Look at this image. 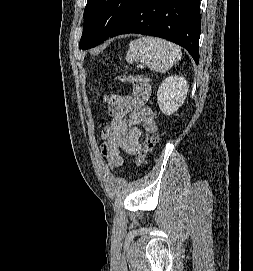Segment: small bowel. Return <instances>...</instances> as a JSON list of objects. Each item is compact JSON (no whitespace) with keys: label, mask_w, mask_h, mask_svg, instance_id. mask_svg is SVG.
Listing matches in <instances>:
<instances>
[{"label":"small bowel","mask_w":253,"mask_h":271,"mask_svg":"<svg viewBox=\"0 0 253 271\" xmlns=\"http://www.w3.org/2000/svg\"><path fill=\"white\" fill-rule=\"evenodd\" d=\"M132 93L108 99V114L112 117L102 129V154L111 168L118 169L124 163L123 153L136 156L141 152L143 131L158 130L153 110L146 104L151 96L149 83H138L132 79Z\"/></svg>","instance_id":"small-bowel-1"}]
</instances>
